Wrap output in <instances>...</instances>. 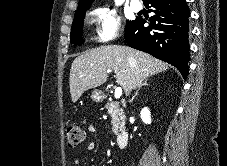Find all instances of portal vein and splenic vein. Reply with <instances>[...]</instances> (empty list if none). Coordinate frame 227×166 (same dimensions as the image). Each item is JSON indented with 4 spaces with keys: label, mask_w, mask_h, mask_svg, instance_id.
Masks as SVG:
<instances>
[{
    "label": "portal vein and splenic vein",
    "mask_w": 227,
    "mask_h": 166,
    "mask_svg": "<svg viewBox=\"0 0 227 166\" xmlns=\"http://www.w3.org/2000/svg\"><path fill=\"white\" fill-rule=\"evenodd\" d=\"M108 73L111 72L110 70L107 71ZM122 95V88L121 87H117L115 89V93H114V96H115V99H119Z\"/></svg>",
    "instance_id": "1"
}]
</instances>
